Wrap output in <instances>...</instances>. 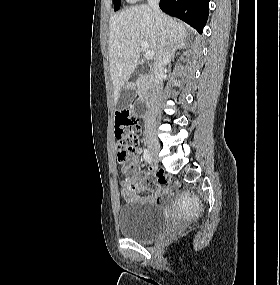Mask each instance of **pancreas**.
<instances>
[{
    "label": "pancreas",
    "instance_id": "1",
    "mask_svg": "<svg viewBox=\"0 0 280 285\" xmlns=\"http://www.w3.org/2000/svg\"><path fill=\"white\" fill-rule=\"evenodd\" d=\"M147 84H148L147 80L142 81L141 88H143L144 90L147 89Z\"/></svg>",
    "mask_w": 280,
    "mask_h": 285
}]
</instances>
